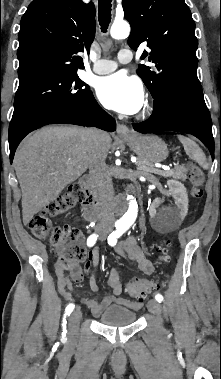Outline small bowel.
<instances>
[{"label": "small bowel", "mask_w": 221, "mask_h": 379, "mask_svg": "<svg viewBox=\"0 0 221 379\" xmlns=\"http://www.w3.org/2000/svg\"><path fill=\"white\" fill-rule=\"evenodd\" d=\"M117 252L120 255L126 257L130 262L135 263L142 273L150 275L154 272L153 263L148 259L145 252L137 244L136 238L134 236H129L123 243H121L117 248ZM98 263L99 250L97 248H93L88 253V261L86 262L83 271L78 263H73L69 267L71 278L66 277L64 270L59 266V264H56L58 286L62 295L67 300L73 299V296L70 292L72 282H81L84 278V274H89L92 272V268H95ZM89 284L93 292L98 291L99 287L97 285L94 274L90 275ZM107 285L110 288L111 293L105 296L101 301H97L93 298L88 297L82 299L84 305L90 309L94 316H99L102 311L112 303L124 305L132 309L139 308V303L131 302L121 297V294L123 292V284L121 282L118 270L114 267L109 270Z\"/></svg>", "instance_id": "c3829d8e"}]
</instances>
